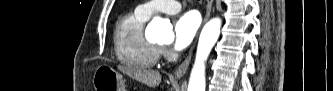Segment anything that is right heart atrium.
I'll list each match as a JSON object with an SVG mask.
<instances>
[{
  "label": "right heart atrium",
  "mask_w": 333,
  "mask_h": 91,
  "mask_svg": "<svg viewBox=\"0 0 333 91\" xmlns=\"http://www.w3.org/2000/svg\"><path fill=\"white\" fill-rule=\"evenodd\" d=\"M159 53L163 56H168V51L166 48H160Z\"/></svg>",
  "instance_id": "1"
}]
</instances>
